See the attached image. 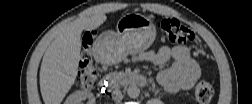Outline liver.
Segmentation results:
<instances>
[{
  "label": "liver",
  "mask_w": 252,
  "mask_h": 104,
  "mask_svg": "<svg viewBox=\"0 0 252 104\" xmlns=\"http://www.w3.org/2000/svg\"><path fill=\"white\" fill-rule=\"evenodd\" d=\"M103 13L76 19L61 27L48 46L40 68V91L44 103L59 104L74 84L81 51V33L106 21Z\"/></svg>",
  "instance_id": "6515ba94"
}]
</instances>
